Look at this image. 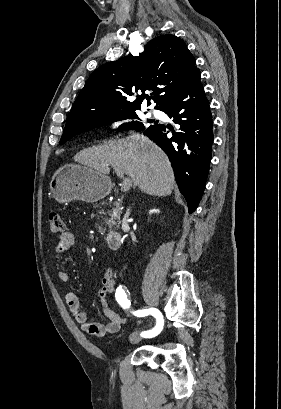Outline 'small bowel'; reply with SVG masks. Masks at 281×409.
<instances>
[{
  "instance_id": "1",
  "label": "small bowel",
  "mask_w": 281,
  "mask_h": 409,
  "mask_svg": "<svg viewBox=\"0 0 281 409\" xmlns=\"http://www.w3.org/2000/svg\"><path fill=\"white\" fill-rule=\"evenodd\" d=\"M73 242L74 235L72 232L66 231L62 233L55 246V254H63L72 246ZM57 277L61 283H67L71 278V274L65 270H60L58 271ZM101 283L102 285L98 291V297L104 306L105 315L109 319L107 324L89 322L87 315L81 310L78 297L74 293H67L65 296L66 304L75 321L80 325L81 330L84 333L97 337L104 336L105 334L117 333L124 323V318L108 306L107 297L109 295H115L118 287V283L114 277V269L112 267H107L105 269Z\"/></svg>"
}]
</instances>
